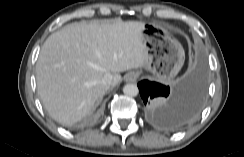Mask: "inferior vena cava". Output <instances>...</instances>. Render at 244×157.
Listing matches in <instances>:
<instances>
[{
  "label": "inferior vena cava",
  "mask_w": 244,
  "mask_h": 157,
  "mask_svg": "<svg viewBox=\"0 0 244 157\" xmlns=\"http://www.w3.org/2000/svg\"><path fill=\"white\" fill-rule=\"evenodd\" d=\"M112 81H113V76L111 74H107L103 78L104 84L110 85L112 83Z\"/></svg>",
  "instance_id": "602c4592"
}]
</instances>
